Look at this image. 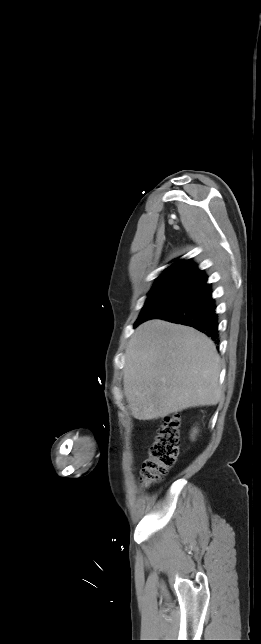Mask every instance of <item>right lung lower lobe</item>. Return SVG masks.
Listing matches in <instances>:
<instances>
[{"label":"right lung lower lobe","mask_w":261,"mask_h":644,"mask_svg":"<svg viewBox=\"0 0 261 644\" xmlns=\"http://www.w3.org/2000/svg\"><path fill=\"white\" fill-rule=\"evenodd\" d=\"M211 293V284L204 283L190 300L159 318L191 326L219 343L216 306Z\"/></svg>","instance_id":"98d812e1"}]
</instances>
